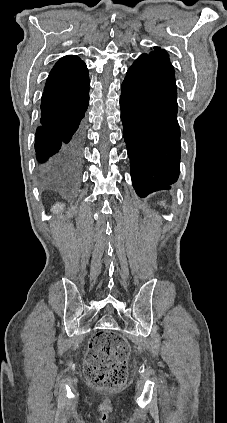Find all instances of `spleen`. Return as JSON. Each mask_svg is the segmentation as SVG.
<instances>
[{
    "instance_id": "obj_1",
    "label": "spleen",
    "mask_w": 227,
    "mask_h": 423,
    "mask_svg": "<svg viewBox=\"0 0 227 423\" xmlns=\"http://www.w3.org/2000/svg\"><path fill=\"white\" fill-rule=\"evenodd\" d=\"M162 206H164V202H161Z\"/></svg>"
}]
</instances>
